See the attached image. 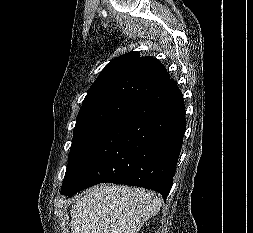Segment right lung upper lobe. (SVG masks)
<instances>
[{"mask_svg":"<svg viewBox=\"0 0 253 233\" xmlns=\"http://www.w3.org/2000/svg\"><path fill=\"white\" fill-rule=\"evenodd\" d=\"M170 78L157 59L129 52L111 60L90 87L83 106L103 100L125 98L138 100Z\"/></svg>","mask_w":253,"mask_h":233,"instance_id":"1","label":"right lung upper lobe"}]
</instances>
